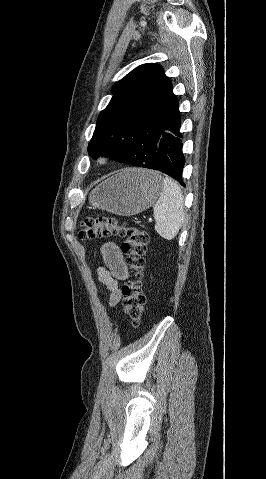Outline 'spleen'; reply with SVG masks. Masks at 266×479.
Listing matches in <instances>:
<instances>
[{"label": "spleen", "instance_id": "1", "mask_svg": "<svg viewBox=\"0 0 266 479\" xmlns=\"http://www.w3.org/2000/svg\"><path fill=\"white\" fill-rule=\"evenodd\" d=\"M155 231L164 239H174L185 220L184 196L170 177L163 180L162 192L153 208Z\"/></svg>", "mask_w": 266, "mask_h": 479}]
</instances>
